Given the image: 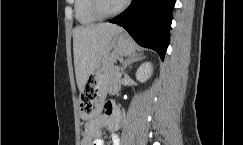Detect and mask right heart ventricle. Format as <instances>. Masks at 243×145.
<instances>
[{
	"mask_svg": "<svg viewBox=\"0 0 243 145\" xmlns=\"http://www.w3.org/2000/svg\"><path fill=\"white\" fill-rule=\"evenodd\" d=\"M74 9L75 17L81 25H93L100 20L92 13L90 0H75Z\"/></svg>",
	"mask_w": 243,
	"mask_h": 145,
	"instance_id": "1",
	"label": "right heart ventricle"
}]
</instances>
